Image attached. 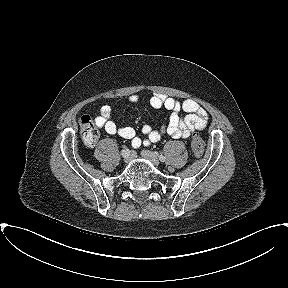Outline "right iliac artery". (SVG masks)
<instances>
[{
  "label": "right iliac artery",
  "mask_w": 288,
  "mask_h": 288,
  "mask_svg": "<svg viewBox=\"0 0 288 288\" xmlns=\"http://www.w3.org/2000/svg\"><path fill=\"white\" fill-rule=\"evenodd\" d=\"M129 151V149H124V150H122V157L124 158V159H129L130 158V151Z\"/></svg>",
  "instance_id": "82829eb1"
}]
</instances>
